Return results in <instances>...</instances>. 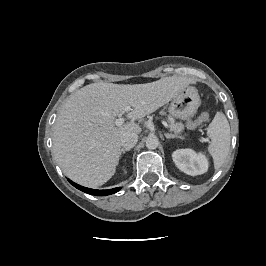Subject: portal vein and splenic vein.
I'll list each match as a JSON object with an SVG mask.
<instances>
[{
	"label": "portal vein and splenic vein",
	"mask_w": 266,
	"mask_h": 266,
	"mask_svg": "<svg viewBox=\"0 0 266 266\" xmlns=\"http://www.w3.org/2000/svg\"><path fill=\"white\" fill-rule=\"evenodd\" d=\"M130 110H131V107L130 106H126L124 108V111L122 112V114H126V113L130 112ZM122 114L119 116V118H117L115 120V124L117 126H121L124 123V121H125V118H124V116H122ZM162 124L165 126V128L169 129V126H168V124L166 122H162Z\"/></svg>",
	"instance_id": "portal-vein-and-splenic-vein-1"
}]
</instances>
